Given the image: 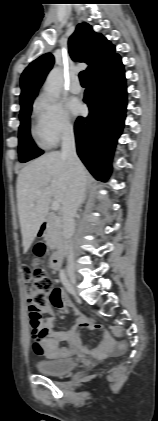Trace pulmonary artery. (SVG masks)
<instances>
[{"label":"pulmonary artery","instance_id":"pulmonary-artery-1","mask_svg":"<svg viewBox=\"0 0 158 421\" xmlns=\"http://www.w3.org/2000/svg\"><path fill=\"white\" fill-rule=\"evenodd\" d=\"M70 91L74 94H78L82 91V87L78 78H74L70 84Z\"/></svg>","mask_w":158,"mask_h":421}]
</instances>
